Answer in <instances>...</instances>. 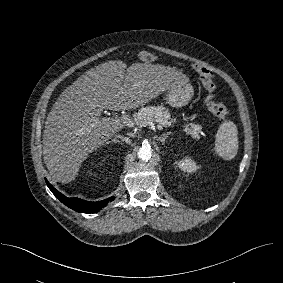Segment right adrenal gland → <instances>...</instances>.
<instances>
[{
	"label": "right adrenal gland",
	"instance_id": "obj_1",
	"mask_svg": "<svg viewBox=\"0 0 283 283\" xmlns=\"http://www.w3.org/2000/svg\"><path fill=\"white\" fill-rule=\"evenodd\" d=\"M113 142H114V143H120L119 140H117V139H112L111 141L108 142V144H109V143H113Z\"/></svg>",
	"mask_w": 283,
	"mask_h": 283
}]
</instances>
